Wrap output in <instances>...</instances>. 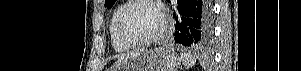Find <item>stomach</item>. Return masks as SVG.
Returning a JSON list of instances; mask_svg holds the SVG:
<instances>
[{"label":"stomach","instance_id":"1","mask_svg":"<svg viewBox=\"0 0 301 71\" xmlns=\"http://www.w3.org/2000/svg\"><path fill=\"white\" fill-rule=\"evenodd\" d=\"M180 61L175 52L159 47L126 56L119 60L111 71H177Z\"/></svg>","mask_w":301,"mask_h":71}]
</instances>
